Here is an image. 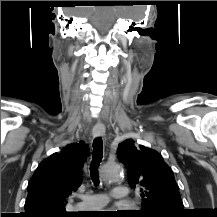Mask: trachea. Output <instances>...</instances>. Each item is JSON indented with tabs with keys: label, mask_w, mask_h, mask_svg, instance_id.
Returning <instances> with one entry per match:
<instances>
[{
	"label": "trachea",
	"mask_w": 217,
	"mask_h": 217,
	"mask_svg": "<svg viewBox=\"0 0 217 217\" xmlns=\"http://www.w3.org/2000/svg\"><path fill=\"white\" fill-rule=\"evenodd\" d=\"M103 156V143L101 138L93 141V157L90 165L91 178L95 185L99 184L98 166Z\"/></svg>",
	"instance_id": "3493384b"
}]
</instances>
